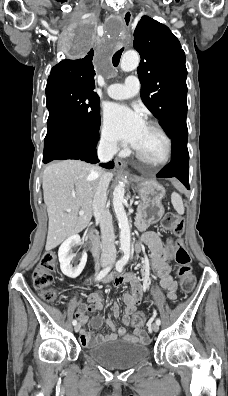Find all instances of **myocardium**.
<instances>
[{"mask_svg":"<svg viewBox=\"0 0 228 396\" xmlns=\"http://www.w3.org/2000/svg\"><path fill=\"white\" fill-rule=\"evenodd\" d=\"M146 125L157 130L162 135V137L165 139L166 154H165L164 158L158 162H152V161L146 159L136 148L134 149L135 155L139 161H141L142 163H144L148 166L162 167V166L166 165L172 157V152H173L172 140H171L170 136L168 135V133L157 122L149 121V122H147Z\"/></svg>","mask_w":228,"mask_h":396,"instance_id":"f54148a6","label":"myocardium"}]
</instances>
